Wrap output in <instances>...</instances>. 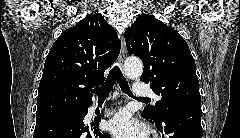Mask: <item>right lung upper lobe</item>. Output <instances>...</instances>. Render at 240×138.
Instances as JSON below:
<instances>
[{
	"mask_svg": "<svg viewBox=\"0 0 240 138\" xmlns=\"http://www.w3.org/2000/svg\"><path fill=\"white\" fill-rule=\"evenodd\" d=\"M119 52L115 29L99 13L65 30L46 58L36 116L92 105L91 88L104 82Z\"/></svg>",
	"mask_w": 240,
	"mask_h": 138,
	"instance_id": "obj_1",
	"label": "right lung upper lobe"
}]
</instances>
